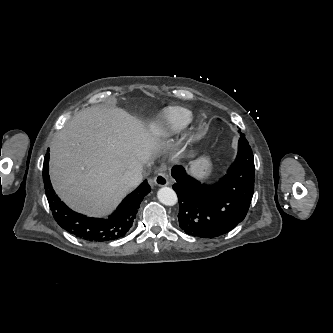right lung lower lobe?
<instances>
[{
  "label": "right lung lower lobe",
  "instance_id": "1",
  "mask_svg": "<svg viewBox=\"0 0 333 333\" xmlns=\"http://www.w3.org/2000/svg\"><path fill=\"white\" fill-rule=\"evenodd\" d=\"M49 153L45 156L43 179L50 209L57 223L69 233L94 242L119 239L129 232L143 198L151 191L145 180L130 193L107 218H92L68 208L55 194L49 178Z\"/></svg>",
  "mask_w": 333,
  "mask_h": 333
}]
</instances>
